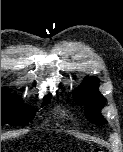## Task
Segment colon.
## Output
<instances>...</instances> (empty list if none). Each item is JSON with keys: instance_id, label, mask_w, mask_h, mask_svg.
I'll use <instances>...</instances> for the list:
<instances>
[{"instance_id": "1", "label": "colon", "mask_w": 123, "mask_h": 152, "mask_svg": "<svg viewBox=\"0 0 123 152\" xmlns=\"http://www.w3.org/2000/svg\"><path fill=\"white\" fill-rule=\"evenodd\" d=\"M90 152H105V151L101 148H94Z\"/></svg>"}]
</instances>
